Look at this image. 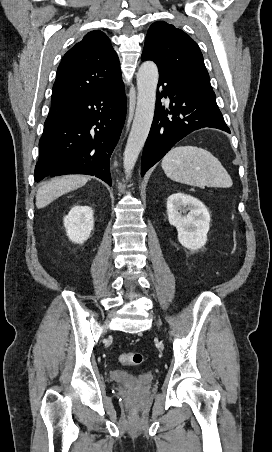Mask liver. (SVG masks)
<instances>
[{
	"label": "liver",
	"mask_w": 272,
	"mask_h": 452,
	"mask_svg": "<svg viewBox=\"0 0 272 452\" xmlns=\"http://www.w3.org/2000/svg\"><path fill=\"white\" fill-rule=\"evenodd\" d=\"M88 179L83 175H65L42 184L36 194V207H46L63 194L82 187Z\"/></svg>",
	"instance_id": "obj_1"
}]
</instances>
